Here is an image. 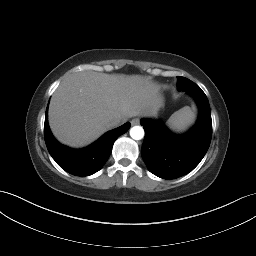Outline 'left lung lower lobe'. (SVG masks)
<instances>
[{"label": "left lung lower lobe", "instance_id": "left-lung-lower-lobe-1", "mask_svg": "<svg viewBox=\"0 0 256 256\" xmlns=\"http://www.w3.org/2000/svg\"><path fill=\"white\" fill-rule=\"evenodd\" d=\"M186 91L199 108L196 125L183 135L172 133L163 123L142 119L145 130L141 155L151 173L163 179H176L192 171L205 156L212 137L211 110L202 89L194 82Z\"/></svg>", "mask_w": 256, "mask_h": 256}]
</instances>
